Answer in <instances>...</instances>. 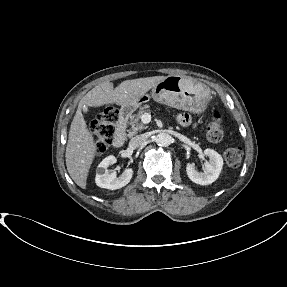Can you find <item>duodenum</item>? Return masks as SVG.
Returning a JSON list of instances; mask_svg holds the SVG:
<instances>
[{"instance_id":"1","label":"duodenum","mask_w":287,"mask_h":287,"mask_svg":"<svg viewBox=\"0 0 287 287\" xmlns=\"http://www.w3.org/2000/svg\"><path fill=\"white\" fill-rule=\"evenodd\" d=\"M128 114L127 111L123 112L120 116L119 122L116 127V131L113 138V145L116 148L121 147L126 139V130H127Z\"/></svg>"}]
</instances>
